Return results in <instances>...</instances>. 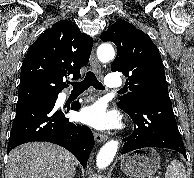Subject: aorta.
Segmentation results:
<instances>
[{
	"mask_svg": "<svg viewBox=\"0 0 194 178\" xmlns=\"http://www.w3.org/2000/svg\"><path fill=\"white\" fill-rule=\"evenodd\" d=\"M97 57L102 63H107L114 59L115 51L111 44L103 43L97 49ZM119 146V141H108L99 151L96 158V165L99 169L106 168L114 159Z\"/></svg>",
	"mask_w": 194,
	"mask_h": 178,
	"instance_id": "762f6f07",
	"label": "aorta"
}]
</instances>
